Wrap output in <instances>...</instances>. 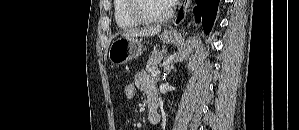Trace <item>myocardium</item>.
<instances>
[{
    "label": "myocardium",
    "mask_w": 299,
    "mask_h": 130,
    "mask_svg": "<svg viewBox=\"0 0 299 130\" xmlns=\"http://www.w3.org/2000/svg\"><path fill=\"white\" fill-rule=\"evenodd\" d=\"M147 0H130V13L136 20L145 23H161L168 21L174 12L173 5H169L168 12L162 16H152L144 11L143 3Z\"/></svg>",
    "instance_id": "1"
}]
</instances>
